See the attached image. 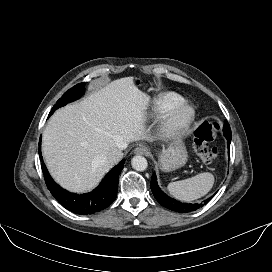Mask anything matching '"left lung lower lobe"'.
Returning a JSON list of instances; mask_svg holds the SVG:
<instances>
[{
  "instance_id": "1",
  "label": "left lung lower lobe",
  "mask_w": 272,
  "mask_h": 272,
  "mask_svg": "<svg viewBox=\"0 0 272 272\" xmlns=\"http://www.w3.org/2000/svg\"><path fill=\"white\" fill-rule=\"evenodd\" d=\"M224 136L227 139L228 154H230V143H231V137H232L231 129H229L228 131H224ZM150 187H151L154 197L162 206H164L165 208H168L170 210L176 211V212L187 213V212L195 211V210L201 208L203 205H205L211 199V198H208L201 203H194V204L181 203L177 200H174V199L168 197L164 192L161 191V189L159 188L158 183L156 181L155 174H153L151 177Z\"/></svg>"
}]
</instances>
